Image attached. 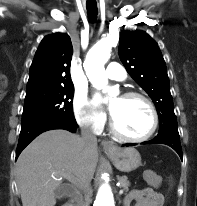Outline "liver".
Returning <instances> with one entry per match:
<instances>
[{"label":"liver","mask_w":197,"mask_h":206,"mask_svg":"<svg viewBox=\"0 0 197 206\" xmlns=\"http://www.w3.org/2000/svg\"><path fill=\"white\" fill-rule=\"evenodd\" d=\"M98 148L86 149L82 138L66 130L39 135L18 158L16 178L23 206H55L62 178L72 177L78 187L90 185Z\"/></svg>","instance_id":"1"}]
</instances>
